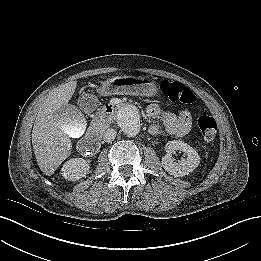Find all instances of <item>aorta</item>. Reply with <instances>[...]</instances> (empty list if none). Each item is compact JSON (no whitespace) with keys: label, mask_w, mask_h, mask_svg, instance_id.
Instances as JSON below:
<instances>
[{"label":"aorta","mask_w":261,"mask_h":261,"mask_svg":"<svg viewBox=\"0 0 261 261\" xmlns=\"http://www.w3.org/2000/svg\"><path fill=\"white\" fill-rule=\"evenodd\" d=\"M120 128L128 136H136L141 129V119L138 109L133 105L123 106L117 114Z\"/></svg>","instance_id":"aorta-1"}]
</instances>
